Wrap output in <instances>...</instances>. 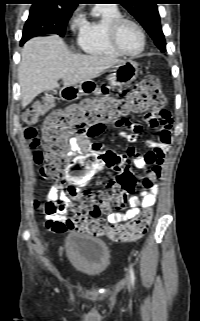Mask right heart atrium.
I'll return each instance as SVG.
<instances>
[{"label":"right heart atrium","mask_w":200,"mask_h":321,"mask_svg":"<svg viewBox=\"0 0 200 321\" xmlns=\"http://www.w3.org/2000/svg\"><path fill=\"white\" fill-rule=\"evenodd\" d=\"M84 24L83 16L78 12L75 11L70 19V26L73 30L81 29Z\"/></svg>","instance_id":"right-heart-atrium-1"}]
</instances>
